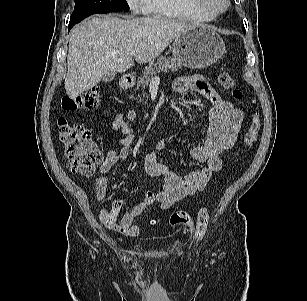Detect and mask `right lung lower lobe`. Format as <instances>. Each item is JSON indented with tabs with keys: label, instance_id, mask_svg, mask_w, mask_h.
Instances as JSON below:
<instances>
[{
	"label": "right lung lower lobe",
	"instance_id": "98d812e1",
	"mask_svg": "<svg viewBox=\"0 0 307 301\" xmlns=\"http://www.w3.org/2000/svg\"><path fill=\"white\" fill-rule=\"evenodd\" d=\"M74 25H75V23H69V29L68 30H70Z\"/></svg>",
	"mask_w": 307,
	"mask_h": 301
}]
</instances>
